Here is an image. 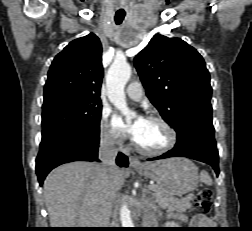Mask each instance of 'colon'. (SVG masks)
Instances as JSON below:
<instances>
[{"label": "colon", "instance_id": "obj_1", "mask_svg": "<svg viewBox=\"0 0 252 231\" xmlns=\"http://www.w3.org/2000/svg\"><path fill=\"white\" fill-rule=\"evenodd\" d=\"M213 192L209 188H204L197 192L194 205L205 212H209L212 206Z\"/></svg>", "mask_w": 252, "mask_h": 231}]
</instances>
